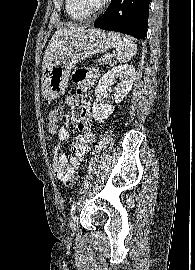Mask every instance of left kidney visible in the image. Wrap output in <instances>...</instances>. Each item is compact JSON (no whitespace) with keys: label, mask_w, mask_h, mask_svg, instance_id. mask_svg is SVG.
Wrapping results in <instances>:
<instances>
[{"label":"left kidney","mask_w":195,"mask_h":270,"mask_svg":"<svg viewBox=\"0 0 195 270\" xmlns=\"http://www.w3.org/2000/svg\"><path fill=\"white\" fill-rule=\"evenodd\" d=\"M135 76L134 67L126 64L113 67L101 77L95 89L96 99L92 107L93 118L97 123H103L114 111V106L106 102V94L110 86L119 79L120 83L115 88L114 100L115 103H120L131 90Z\"/></svg>","instance_id":"obj_1"}]
</instances>
